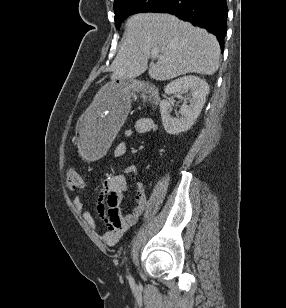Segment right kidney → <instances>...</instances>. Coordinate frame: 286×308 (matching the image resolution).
<instances>
[{
    "mask_svg": "<svg viewBox=\"0 0 286 308\" xmlns=\"http://www.w3.org/2000/svg\"><path fill=\"white\" fill-rule=\"evenodd\" d=\"M191 90L192 98L189 105L184 103L180 108V117H172L170 110L172 104L169 99L160 102V113L165 131L170 135H177L188 131L199 116L206 96L209 93V85L196 76H184L170 82L165 88V94H180Z\"/></svg>",
    "mask_w": 286,
    "mask_h": 308,
    "instance_id": "1",
    "label": "right kidney"
}]
</instances>
